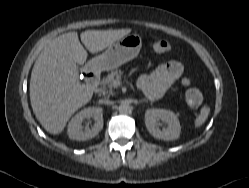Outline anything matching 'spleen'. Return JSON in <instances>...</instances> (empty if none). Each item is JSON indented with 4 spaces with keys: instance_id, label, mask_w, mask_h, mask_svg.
<instances>
[{
    "instance_id": "spleen-1",
    "label": "spleen",
    "mask_w": 249,
    "mask_h": 188,
    "mask_svg": "<svg viewBox=\"0 0 249 188\" xmlns=\"http://www.w3.org/2000/svg\"><path fill=\"white\" fill-rule=\"evenodd\" d=\"M210 109L208 106H203L199 116L195 120V128L200 127L208 118Z\"/></svg>"
}]
</instances>
